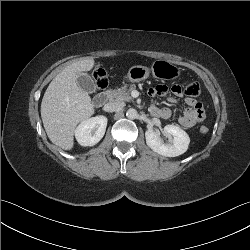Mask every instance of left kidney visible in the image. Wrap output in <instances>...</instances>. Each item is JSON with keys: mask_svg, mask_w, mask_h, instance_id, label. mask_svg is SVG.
Segmentation results:
<instances>
[{"mask_svg": "<svg viewBox=\"0 0 250 250\" xmlns=\"http://www.w3.org/2000/svg\"><path fill=\"white\" fill-rule=\"evenodd\" d=\"M164 134L173 137L172 142L165 143L160 137V131L149 129L145 132L146 144L156 153L166 157H176L187 151L190 138L188 134L176 125H166Z\"/></svg>", "mask_w": 250, "mask_h": 250, "instance_id": "left-kidney-1", "label": "left kidney"}]
</instances>
